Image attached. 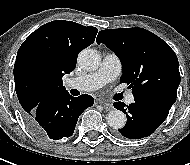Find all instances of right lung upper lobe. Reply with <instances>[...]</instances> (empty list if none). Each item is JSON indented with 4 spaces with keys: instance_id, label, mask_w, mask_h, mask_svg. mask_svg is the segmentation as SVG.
Segmentation results:
<instances>
[{
    "instance_id": "obj_1",
    "label": "right lung upper lobe",
    "mask_w": 190,
    "mask_h": 165,
    "mask_svg": "<svg viewBox=\"0 0 190 165\" xmlns=\"http://www.w3.org/2000/svg\"><path fill=\"white\" fill-rule=\"evenodd\" d=\"M97 31L55 20L28 36L18 50L13 71L23 112L32 111L49 93L65 90L63 75L75 69L78 53L94 42Z\"/></svg>"
}]
</instances>
